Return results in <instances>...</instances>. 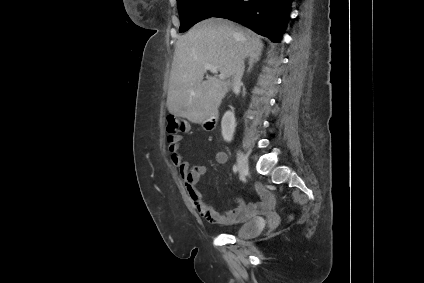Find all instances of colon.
<instances>
[{"mask_svg": "<svg viewBox=\"0 0 424 283\" xmlns=\"http://www.w3.org/2000/svg\"><path fill=\"white\" fill-rule=\"evenodd\" d=\"M167 131L170 134H176L186 130L185 121L177 115H168L167 116Z\"/></svg>", "mask_w": 424, "mask_h": 283, "instance_id": "obj_1", "label": "colon"}]
</instances>
